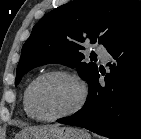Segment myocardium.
Wrapping results in <instances>:
<instances>
[{
    "label": "myocardium",
    "mask_w": 141,
    "mask_h": 139,
    "mask_svg": "<svg viewBox=\"0 0 141 139\" xmlns=\"http://www.w3.org/2000/svg\"><path fill=\"white\" fill-rule=\"evenodd\" d=\"M50 76H63L73 80L78 86L79 96L76 103L70 109L60 114L46 117V116H42L38 114L37 111L35 110L33 105V100H32V94L37 83L40 82L42 79L50 77ZM87 96H88V89H87L86 83L78 74L68 70L54 69V70H49L40 74L29 84L27 88V92H26V104L30 114L32 115L34 119L43 121V122H53L62 118L69 117L77 113L85 105Z\"/></svg>",
    "instance_id": "f54148a6"
}]
</instances>
